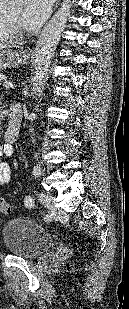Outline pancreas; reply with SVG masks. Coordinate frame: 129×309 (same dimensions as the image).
I'll return each mask as SVG.
<instances>
[{"mask_svg":"<svg viewBox=\"0 0 129 309\" xmlns=\"http://www.w3.org/2000/svg\"><path fill=\"white\" fill-rule=\"evenodd\" d=\"M6 75H4L3 73H0V85L4 82V81H6Z\"/></svg>","mask_w":129,"mask_h":309,"instance_id":"pancreas-1","label":"pancreas"}]
</instances>
